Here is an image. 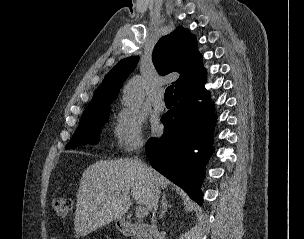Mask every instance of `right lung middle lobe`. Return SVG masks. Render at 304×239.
Masks as SVG:
<instances>
[{"instance_id": "obj_1", "label": "right lung middle lobe", "mask_w": 304, "mask_h": 239, "mask_svg": "<svg viewBox=\"0 0 304 239\" xmlns=\"http://www.w3.org/2000/svg\"><path fill=\"white\" fill-rule=\"evenodd\" d=\"M110 110V106H105L83 115L79 127L65 149L67 150L86 144H96L99 139L98 133L107 121Z\"/></svg>"}]
</instances>
